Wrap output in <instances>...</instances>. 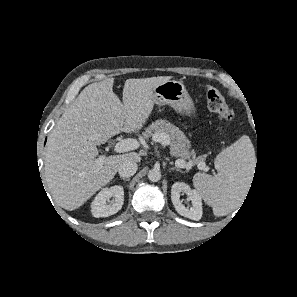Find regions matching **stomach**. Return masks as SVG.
<instances>
[{
    "label": "stomach",
    "mask_w": 297,
    "mask_h": 297,
    "mask_svg": "<svg viewBox=\"0 0 297 297\" xmlns=\"http://www.w3.org/2000/svg\"><path fill=\"white\" fill-rule=\"evenodd\" d=\"M154 104L158 106L170 105L181 114H196L195 104L185 85L177 80L162 82L152 89Z\"/></svg>",
    "instance_id": "0dacf381"
}]
</instances>
